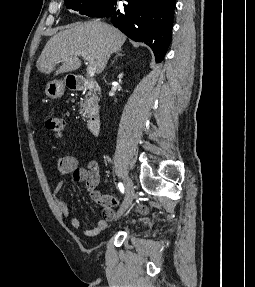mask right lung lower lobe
Instances as JSON below:
<instances>
[{"mask_svg": "<svg viewBox=\"0 0 255 287\" xmlns=\"http://www.w3.org/2000/svg\"><path fill=\"white\" fill-rule=\"evenodd\" d=\"M125 1L124 11L116 7L106 17L132 40L147 44L161 62L171 40L175 0Z\"/></svg>", "mask_w": 255, "mask_h": 287, "instance_id": "98d812e1", "label": "right lung lower lobe"}]
</instances>
